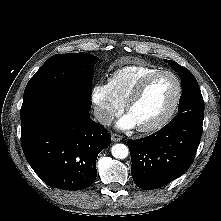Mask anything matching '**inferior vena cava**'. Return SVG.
I'll return each instance as SVG.
<instances>
[{
    "label": "inferior vena cava",
    "mask_w": 221,
    "mask_h": 221,
    "mask_svg": "<svg viewBox=\"0 0 221 221\" xmlns=\"http://www.w3.org/2000/svg\"><path fill=\"white\" fill-rule=\"evenodd\" d=\"M94 116L96 120L103 125H110L113 121V116H111L107 111L98 107L94 109Z\"/></svg>",
    "instance_id": "1"
}]
</instances>
